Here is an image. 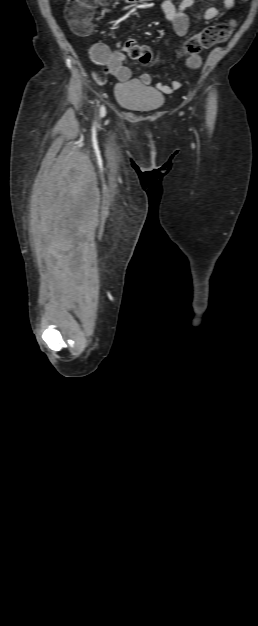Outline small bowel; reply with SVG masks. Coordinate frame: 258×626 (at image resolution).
<instances>
[{
	"label": "small bowel",
	"mask_w": 258,
	"mask_h": 626,
	"mask_svg": "<svg viewBox=\"0 0 258 626\" xmlns=\"http://www.w3.org/2000/svg\"><path fill=\"white\" fill-rule=\"evenodd\" d=\"M199 0H181L178 6H176L173 0H164L162 3V10L165 13L167 20L171 27L178 36H184L189 29V17L186 14V10L194 6ZM223 8L207 7L203 9L199 16L204 20H215L219 18L224 10L233 7L235 0H220ZM99 59L102 65L105 66V70L116 77L119 81L125 82L130 78V70L124 65L126 57L121 50H110L105 45L98 46ZM187 65L196 69L201 64V58L198 55L189 56L186 58ZM141 81L145 85L151 84V77L149 74H143ZM181 87L180 81H172L170 85L163 83H157L156 88L165 94H170Z\"/></svg>",
	"instance_id": "1"
}]
</instances>
